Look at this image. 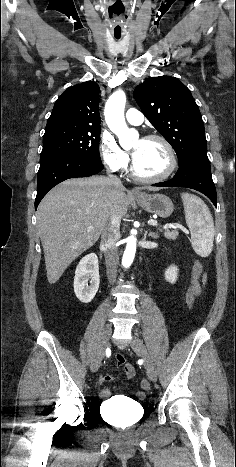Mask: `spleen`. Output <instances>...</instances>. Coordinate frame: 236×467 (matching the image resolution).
<instances>
[{"label":"spleen","instance_id":"1","mask_svg":"<svg viewBox=\"0 0 236 467\" xmlns=\"http://www.w3.org/2000/svg\"><path fill=\"white\" fill-rule=\"evenodd\" d=\"M186 223L191 232V243L194 251L207 257L213 248L214 222L206 204L199 197L182 193Z\"/></svg>","mask_w":236,"mask_h":467}]
</instances>
